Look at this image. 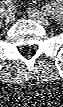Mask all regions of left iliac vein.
Listing matches in <instances>:
<instances>
[{"label":"left iliac vein","mask_w":63,"mask_h":107,"mask_svg":"<svg viewBox=\"0 0 63 107\" xmlns=\"http://www.w3.org/2000/svg\"><path fill=\"white\" fill-rule=\"evenodd\" d=\"M28 14H29L30 17L37 20L39 23H41L44 26H48L49 23H50L49 18L39 10L30 9L28 11Z\"/></svg>","instance_id":"4c4485c4"}]
</instances>
